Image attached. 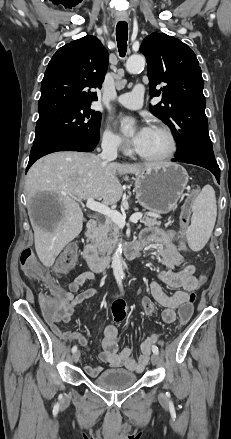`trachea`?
Masks as SVG:
<instances>
[{
    "label": "trachea",
    "instance_id": "3493384b",
    "mask_svg": "<svg viewBox=\"0 0 231 439\" xmlns=\"http://www.w3.org/2000/svg\"><path fill=\"white\" fill-rule=\"evenodd\" d=\"M116 39L119 54L124 57L127 52L128 25L125 21L118 22L116 26Z\"/></svg>",
    "mask_w": 231,
    "mask_h": 439
}]
</instances>
